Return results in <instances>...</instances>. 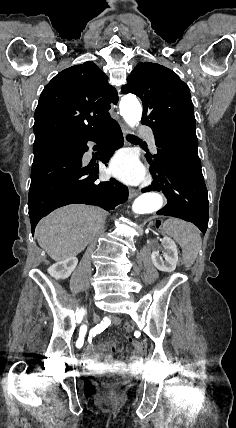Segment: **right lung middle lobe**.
Segmentation results:
<instances>
[{"mask_svg":"<svg viewBox=\"0 0 236 428\" xmlns=\"http://www.w3.org/2000/svg\"><path fill=\"white\" fill-rule=\"evenodd\" d=\"M57 147H62L59 140H51V141L42 142L39 144H34V147H33L34 159L52 152Z\"/></svg>","mask_w":236,"mask_h":428,"instance_id":"right-lung-middle-lobe-1","label":"right lung middle lobe"}]
</instances>
